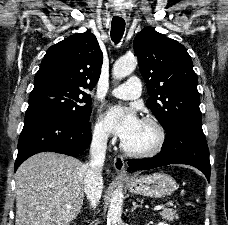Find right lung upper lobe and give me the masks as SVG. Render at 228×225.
<instances>
[{
    "label": "right lung upper lobe",
    "mask_w": 228,
    "mask_h": 225,
    "mask_svg": "<svg viewBox=\"0 0 228 225\" xmlns=\"http://www.w3.org/2000/svg\"><path fill=\"white\" fill-rule=\"evenodd\" d=\"M102 62V51L90 31L73 34L47 50L34 85L58 82L92 89L100 77Z\"/></svg>",
    "instance_id": "obj_1"
}]
</instances>
